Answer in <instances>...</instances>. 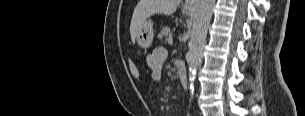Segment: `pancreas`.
<instances>
[{"instance_id": "pancreas-1", "label": "pancreas", "mask_w": 305, "mask_h": 116, "mask_svg": "<svg viewBox=\"0 0 305 116\" xmlns=\"http://www.w3.org/2000/svg\"><path fill=\"white\" fill-rule=\"evenodd\" d=\"M172 33L169 27H163L158 34V39L168 41L169 37H171Z\"/></svg>"}]
</instances>
